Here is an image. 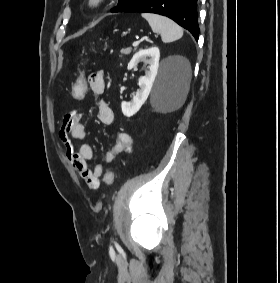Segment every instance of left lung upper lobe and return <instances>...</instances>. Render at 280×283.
Wrapping results in <instances>:
<instances>
[{"label": "left lung upper lobe", "mask_w": 280, "mask_h": 283, "mask_svg": "<svg viewBox=\"0 0 280 283\" xmlns=\"http://www.w3.org/2000/svg\"><path fill=\"white\" fill-rule=\"evenodd\" d=\"M137 0H119L118 5L114 7L111 12H123Z\"/></svg>", "instance_id": "1"}]
</instances>
